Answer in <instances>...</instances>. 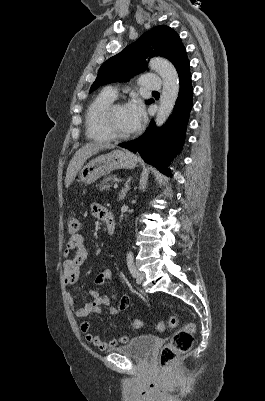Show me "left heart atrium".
<instances>
[{
	"mask_svg": "<svg viewBox=\"0 0 265 401\" xmlns=\"http://www.w3.org/2000/svg\"><path fill=\"white\" fill-rule=\"evenodd\" d=\"M126 116L133 129L141 126L145 118V110L140 99L134 98L125 106Z\"/></svg>",
	"mask_w": 265,
	"mask_h": 401,
	"instance_id": "39dd6f15",
	"label": "left heart atrium"
}]
</instances>
